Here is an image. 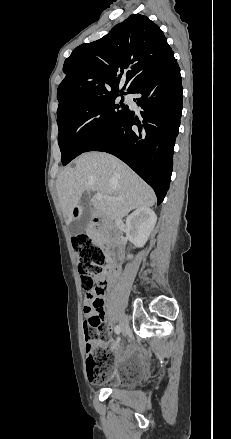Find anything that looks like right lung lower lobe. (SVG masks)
<instances>
[{
    "label": "right lung lower lobe",
    "instance_id": "98d812e1",
    "mask_svg": "<svg viewBox=\"0 0 231 439\" xmlns=\"http://www.w3.org/2000/svg\"><path fill=\"white\" fill-rule=\"evenodd\" d=\"M180 68L175 58L131 92L142 108L138 117L129 108L87 151L115 155L129 165L155 191L159 205L168 189L173 153L182 112Z\"/></svg>",
    "mask_w": 231,
    "mask_h": 439
}]
</instances>
